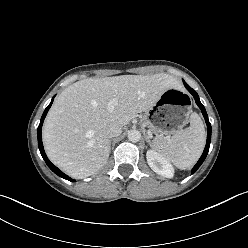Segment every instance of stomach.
Listing matches in <instances>:
<instances>
[{"instance_id": "0dacf381", "label": "stomach", "mask_w": 248, "mask_h": 248, "mask_svg": "<svg viewBox=\"0 0 248 248\" xmlns=\"http://www.w3.org/2000/svg\"><path fill=\"white\" fill-rule=\"evenodd\" d=\"M190 104L182 89L166 90L144 115L145 124L156 135L154 140H167V136L181 130L188 122Z\"/></svg>"}]
</instances>
